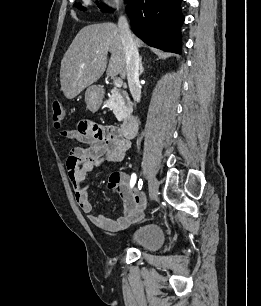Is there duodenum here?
Listing matches in <instances>:
<instances>
[{
  "label": "duodenum",
  "mask_w": 261,
  "mask_h": 306,
  "mask_svg": "<svg viewBox=\"0 0 261 306\" xmlns=\"http://www.w3.org/2000/svg\"><path fill=\"white\" fill-rule=\"evenodd\" d=\"M137 127V117L134 114H128L122 121L120 130L124 137L130 139L136 134Z\"/></svg>",
  "instance_id": "410a0bca"
}]
</instances>
